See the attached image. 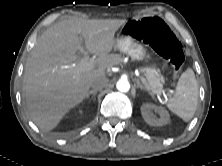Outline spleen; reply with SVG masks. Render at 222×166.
Instances as JSON below:
<instances>
[{
    "mask_svg": "<svg viewBox=\"0 0 222 166\" xmlns=\"http://www.w3.org/2000/svg\"><path fill=\"white\" fill-rule=\"evenodd\" d=\"M198 104V83L191 68L180 76L176 92L170 98L168 109L185 122L192 119Z\"/></svg>",
    "mask_w": 222,
    "mask_h": 166,
    "instance_id": "spleen-1",
    "label": "spleen"
}]
</instances>
